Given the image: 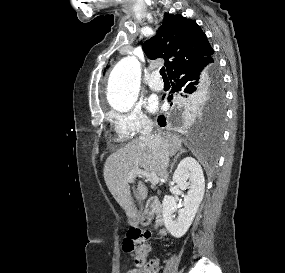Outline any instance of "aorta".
Wrapping results in <instances>:
<instances>
[{
    "mask_svg": "<svg viewBox=\"0 0 285 273\" xmlns=\"http://www.w3.org/2000/svg\"><path fill=\"white\" fill-rule=\"evenodd\" d=\"M141 68L134 57H126L112 69L107 87L110 106L120 112L130 110L137 101L140 88Z\"/></svg>",
    "mask_w": 285,
    "mask_h": 273,
    "instance_id": "aorta-1",
    "label": "aorta"
}]
</instances>
